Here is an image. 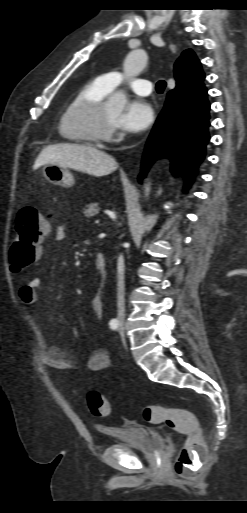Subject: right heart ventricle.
<instances>
[{"label": "right heart ventricle", "instance_id": "1", "mask_svg": "<svg viewBox=\"0 0 247 513\" xmlns=\"http://www.w3.org/2000/svg\"><path fill=\"white\" fill-rule=\"evenodd\" d=\"M110 89L103 86L98 79L91 80L84 84L73 98L69 101L61 114L59 121V132L63 139L69 142L81 143L85 140L69 133L66 129V122L70 114L78 108L93 101L103 100L109 93Z\"/></svg>", "mask_w": 247, "mask_h": 513}]
</instances>
